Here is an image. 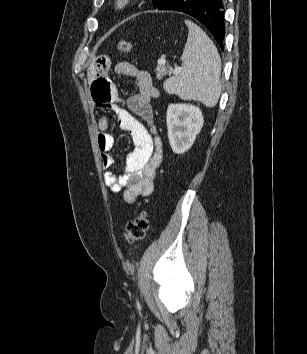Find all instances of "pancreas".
Returning a JSON list of instances; mask_svg holds the SVG:
<instances>
[{
  "label": "pancreas",
  "mask_w": 307,
  "mask_h": 354,
  "mask_svg": "<svg viewBox=\"0 0 307 354\" xmlns=\"http://www.w3.org/2000/svg\"><path fill=\"white\" fill-rule=\"evenodd\" d=\"M168 70L165 64H158V66L155 69V74L158 79H162L163 76L167 75Z\"/></svg>",
  "instance_id": "1"
}]
</instances>
